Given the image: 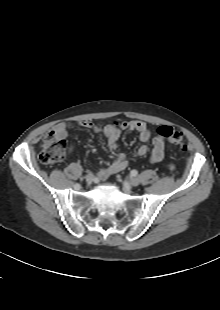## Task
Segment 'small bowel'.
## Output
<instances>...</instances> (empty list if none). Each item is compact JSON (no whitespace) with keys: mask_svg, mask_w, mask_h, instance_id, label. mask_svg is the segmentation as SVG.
<instances>
[{"mask_svg":"<svg viewBox=\"0 0 220 310\" xmlns=\"http://www.w3.org/2000/svg\"><path fill=\"white\" fill-rule=\"evenodd\" d=\"M78 124L83 127L90 129L97 133H102L107 139V145L114 157L111 163L99 170L98 177L101 180L107 179L112 174L120 172L127 168L129 161L127 155L122 152L117 144L121 133L124 130L135 131L138 133L139 146L134 151V156L141 157L149 152V142L152 144V150L150 154V162L158 163L163 160L165 153V139L161 136H155L152 138L151 131L148 125L140 120L112 122L104 126L94 124L91 121L82 120ZM72 124L68 122L58 123L54 127V132L59 135L62 139L67 138L69 130L72 128ZM169 170H174L173 164L168 165Z\"/></svg>","mask_w":220,"mask_h":310,"instance_id":"small-bowel-1","label":"small bowel"}]
</instances>
